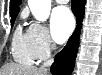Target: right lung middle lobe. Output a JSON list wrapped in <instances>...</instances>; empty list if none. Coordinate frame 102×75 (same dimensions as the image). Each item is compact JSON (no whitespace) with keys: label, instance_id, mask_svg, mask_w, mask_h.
I'll use <instances>...</instances> for the list:
<instances>
[{"label":"right lung middle lobe","instance_id":"right-lung-middle-lobe-1","mask_svg":"<svg viewBox=\"0 0 102 75\" xmlns=\"http://www.w3.org/2000/svg\"><path fill=\"white\" fill-rule=\"evenodd\" d=\"M16 16H17V15H13V16H11V17H12V19H11V25H13Z\"/></svg>","mask_w":102,"mask_h":75}]
</instances>
